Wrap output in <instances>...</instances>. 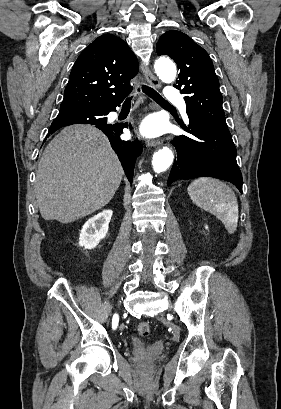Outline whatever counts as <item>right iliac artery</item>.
<instances>
[{
    "instance_id": "obj_1",
    "label": "right iliac artery",
    "mask_w": 281,
    "mask_h": 409,
    "mask_svg": "<svg viewBox=\"0 0 281 409\" xmlns=\"http://www.w3.org/2000/svg\"><path fill=\"white\" fill-rule=\"evenodd\" d=\"M117 324H118V316H117V315H114L113 321H112V327H113V329L116 328Z\"/></svg>"
}]
</instances>
